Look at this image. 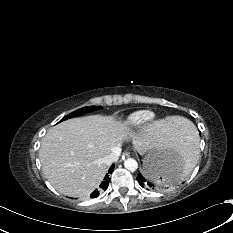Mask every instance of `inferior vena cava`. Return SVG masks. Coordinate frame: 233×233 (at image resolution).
<instances>
[{
    "instance_id": "602c4592",
    "label": "inferior vena cava",
    "mask_w": 233,
    "mask_h": 233,
    "mask_svg": "<svg viewBox=\"0 0 233 233\" xmlns=\"http://www.w3.org/2000/svg\"><path fill=\"white\" fill-rule=\"evenodd\" d=\"M121 153V148H115L112 153H110L106 158H105V163L107 165H111L114 162H117L119 159Z\"/></svg>"
}]
</instances>
